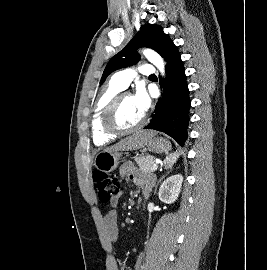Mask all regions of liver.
I'll list each match as a JSON object with an SVG mask.
<instances>
[{"label":"liver","instance_id":"liver-1","mask_svg":"<svg viewBox=\"0 0 267 270\" xmlns=\"http://www.w3.org/2000/svg\"><path fill=\"white\" fill-rule=\"evenodd\" d=\"M154 135L152 131L141 130L106 148V151H132L145 146L148 138Z\"/></svg>","mask_w":267,"mask_h":270}]
</instances>
